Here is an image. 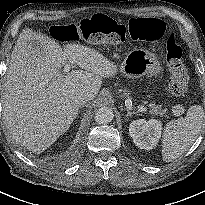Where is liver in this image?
Instances as JSON below:
<instances>
[{
  "label": "liver",
  "instance_id": "6515ba94",
  "mask_svg": "<svg viewBox=\"0 0 205 205\" xmlns=\"http://www.w3.org/2000/svg\"><path fill=\"white\" fill-rule=\"evenodd\" d=\"M84 70L61 71L65 63ZM117 66L80 44L62 48L54 39L24 29L11 54L3 96V114L13 139L33 152H43L65 133L78 114L75 102L84 92L93 99L102 79Z\"/></svg>",
  "mask_w": 205,
  "mask_h": 205
}]
</instances>
